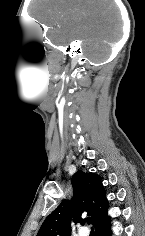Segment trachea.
<instances>
[{
	"instance_id": "1",
	"label": "trachea",
	"mask_w": 145,
	"mask_h": 236,
	"mask_svg": "<svg viewBox=\"0 0 145 236\" xmlns=\"http://www.w3.org/2000/svg\"><path fill=\"white\" fill-rule=\"evenodd\" d=\"M86 221H87V224H91V218L90 217H88Z\"/></svg>"
}]
</instances>
